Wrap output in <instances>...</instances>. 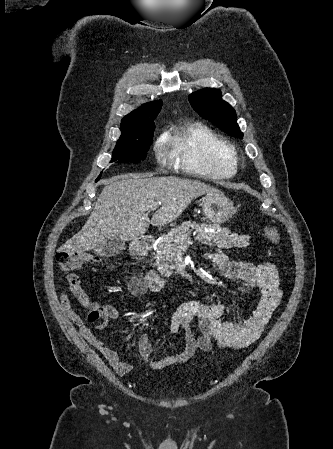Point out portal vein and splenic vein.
Returning <instances> with one entry per match:
<instances>
[{
	"instance_id": "obj_1",
	"label": "portal vein and splenic vein",
	"mask_w": 333,
	"mask_h": 449,
	"mask_svg": "<svg viewBox=\"0 0 333 449\" xmlns=\"http://www.w3.org/2000/svg\"><path fill=\"white\" fill-rule=\"evenodd\" d=\"M160 204H161L160 202H159V203H154V204H152V205L150 206V209H151V210H156Z\"/></svg>"
}]
</instances>
